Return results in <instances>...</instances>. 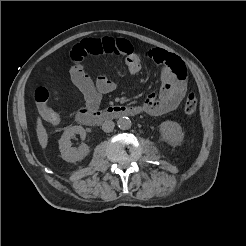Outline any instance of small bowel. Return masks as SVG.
<instances>
[{
	"label": "small bowel",
	"mask_w": 246,
	"mask_h": 246,
	"mask_svg": "<svg viewBox=\"0 0 246 246\" xmlns=\"http://www.w3.org/2000/svg\"><path fill=\"white\" fill-rule=\"evenodd\" d=\"M90 55L123 56L131 75L139 73L142 61L125 39H85L73 48L71 59L74 64L70 68V77L75 95L83 96L85 108L95 110L102 96L114 91L116 85L106 76L101 75L93 80L86 74L80 62ZM146 56L159 65L162 85L158 93L149 94L139 107L144 113L160 116L175 110L184 98L188 86L187 69L181 58L162 49L149 50Z\"/></svg>",
	"instance_id": "small-bowel-1"
}]
</instances>
